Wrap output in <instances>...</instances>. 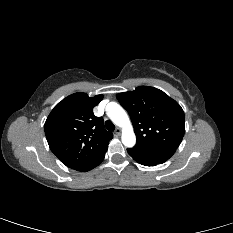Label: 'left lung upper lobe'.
<instances>
[{"label": "left lung upper lobe", "mask_w": 233, "mask_h": 233, "mask_svg": "<svg viewBox=\"0 0 233 233\" xmlns=\"http://www.w3.org/2000/svg\"><path fill=\"white\" fill-rule=\"evenodd\" d=\"M117 99L130 115L136 145L157 149L178 148L185 133V116L175 100L149 86L119 93Z\"/></svg>", "instance_id": "left-lung-upper-lobe-1"}]
</instances>
